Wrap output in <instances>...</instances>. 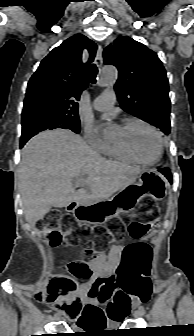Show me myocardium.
Here are the masks:
<instances>
[{"mask_svg":"<svg viewBox=\"0 0 194 336\" xmlns=\"http://www.w3.org/2000/svg\"><path fill=\"white\" fill-rule=\"evenodd\" d=\"M135 124H140L143 125L147 128H149L156 136L157 140H158V154L157 157L153 160L147 161V160H143L140 157H138L125 143L123 142H115V144L121 149V151L126 154L128 157H130L131 159H133L134 161L141 163V164H145V165H154L156 163H158L163 155L164 152V141H163V137L160 133V131L151 123L139 119V118H130L127 119L123 125L121 126V128L126 129L132 125Z\"/></svg>","mask_w":194,"mask_h":336,"instance_id":"myocardium-1","label":"myocardium"}]
</instances>
